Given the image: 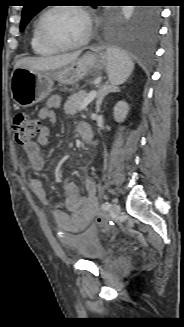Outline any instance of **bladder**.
I'll return each mask as SVG.
<instances>
[{"label": "bladder", "instance_id": "obj_1", "mask_svg": "<svg viewBox=\"0 0 184 327\" xmlns=\"http://www.w3.org/2000/svg\"><path fill=\"white\" fill-rule=\"evenodd\" d=\"M71 249L89 262L100 263L108 256V251L104 247L99 233L92 230L76 235Z\"/></svg>", "mask_w": 184, "mask_h": 327}]
</instances>
